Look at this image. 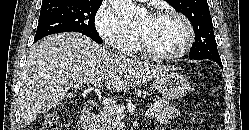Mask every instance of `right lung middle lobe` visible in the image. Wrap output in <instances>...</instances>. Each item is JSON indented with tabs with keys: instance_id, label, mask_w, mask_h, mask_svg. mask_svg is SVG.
I'll use <instances>...</instances> for the list:
<instances>
[{
	"instance_id": "1",
	"label": "right lung middle lobe",
	"mask_w": 249,
	"mask_h": 130,
	"mask_svg": "<svg viewBox=\"0 0 249 130\" xmlns=\"http://www.w3.org/2000/svg\"><path fill=\"white\" fill-rule=\"evenodd\" d=\"M101 4L102 2L84 0H60L43 4L34 41L54 33L73 31L102 43L94 25L95 15Z\"/></svg>"
}]
</instances>
